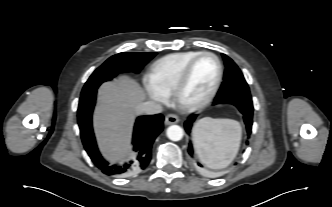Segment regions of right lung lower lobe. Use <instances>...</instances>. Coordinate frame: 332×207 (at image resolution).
<instances>
[{
  "label": "right lung lower lobe",
  "instance_id": "right-lung-lower-lobe-1",
  "mask_svg": "<svg viewBox=\"0 0 332 207\" xmlns=\"http://www.w3.org/2000/svg\"><path fill=\"white\" fill-rule=\"evenodd\" d=\"M97 92L82 95L78 107V124L85 150L92 162L109 176H128L145 169L151 160V149L155 138L163 129L164 117L161 114L138 117L133 133V150L136 157L124 164H109L100 154L92 128V113Z\"/></svg>",
  "mask_w": 332,
  "mask_h": 207
}]
</instances>
